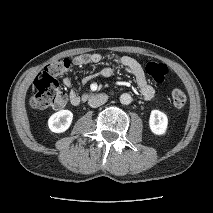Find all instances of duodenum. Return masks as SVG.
Returning a JSON list of instances; mask_svg holds the SVG:
<instances>
[{"instance_id": "410a0bca", "label": "duodenum", "mask_w": 213, "mask_h": 213, "mask_svg": "<svg viewBox=\"0 0 213 213\" xmlns=\"http://www.w3.org/2000/svg\"><path fill=\"white\" fill-rule=\"evenodd\" d=\"M88 96H89V94L83 95L82 100L86 99Z\"/></svg>"}]
</instances>
